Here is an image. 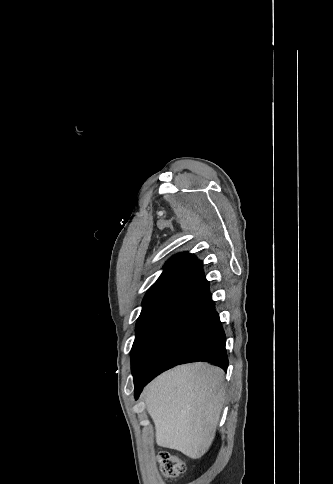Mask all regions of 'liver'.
<instances>
[{
    "mask_svg": "<svg viewBox=\"0 0 333 484\" xmlns=\"http://www.w3.org/2000/svg\"><path fill=\"white\" fill-rule=\"evenodd\" d=\"M223 385L224 371L201 362L176 367L154 379L144 399L158 445L191 459L202 457L215 437Z\"/></svg>",
    "mask_w": 333,
    "mask_h": 484,
    "instance_id": "6515ba94",
    "label": "liver"
}]
</instances>
